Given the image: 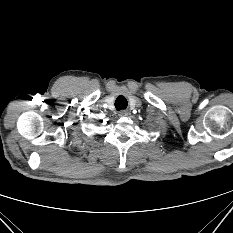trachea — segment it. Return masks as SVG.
I'll return each mask as SVG.
<instances>
[{"mask_svg":"<svg viewBox=\"0 0 233 233\" xmlns=\"http://www.w3.org/2000/svg\"><path fill=\"white\" fill-rule=\"evenodd\" d=\"M127 105H128V102L126 98L122 95H120L115 101V107L118 111L122 109H126Z\"/></svg>","mask_w":233,"mask_h":233,"instance_id":"obj_1","label":"trachea"}]
</instances>
